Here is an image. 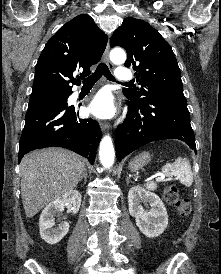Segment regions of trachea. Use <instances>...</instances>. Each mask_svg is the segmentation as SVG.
I'll return each mask as SVG.
<instances>
[{
    "mask_svg": "<svg viewBox=\"0 0 221 274\" xmlns=\"http://www.w3.org/2000/svg\"><path fill=\"white\" fill-rule=\"evenodd\" d=\"M102 76L110 81H116L105 63H100L95 72L83 80L84 86L94 85Z\"/></svg>",
    "mask_w": 221,
    "mask_h": 274,
    "instance_id": "obj_1",
    "label": "trachea"
}]
</instances>
